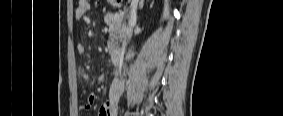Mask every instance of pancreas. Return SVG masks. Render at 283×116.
<instances>
[{
    "label": "pancreas",
    "instance_id": "cf45deb5",
    "mask_svg": "<svg viewBox=\"0 0 283 116\" xmlns=\"http://www.w3.org/2000/svg\"><path fill=\"white\" fill-rule=\"evenodd\" d=\"M105 22L109 26V39L107 41V46L111 52L118 45V41H122L124 39L128 29L124 20V13L122 12L108 14Z\"/></svg>",
    "mask_w": 283,
    "mask_h": 116
}]
</instances>
